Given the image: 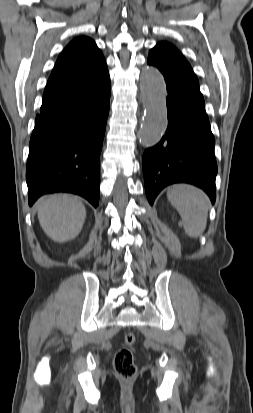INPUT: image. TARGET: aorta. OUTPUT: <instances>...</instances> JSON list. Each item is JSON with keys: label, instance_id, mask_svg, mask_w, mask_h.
<instances>
[{"label": "aorta", "instance_id": "1", "mask_svg": "<svg viewBox=\"0 0 253 413\" xmlns=\"http://www.w3.org/2000/svg\"><path fill=\"white\" fill-rule=\"evenodd\" d=\"M144 115L138 138L144 146H154L167 128L166 84L157 70L144 68L140 77Z\"/></svg>", "mask_w": 253, "mask_h": 413}]
</instances>
